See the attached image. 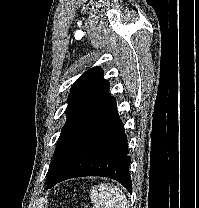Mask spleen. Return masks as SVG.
<instances>
[{"label":"spleen","mask_w":199,"mask_h":208,"mask_svg":"<svg viewBox=\"0 0 199 208\" xmlns=\"http://www.w3.org/2000/svg\"><path fill=\"white\" fill-rule=\"evenodd\" d=\"M93 208H129L126 195L113 184L101 183L90 193Z\"/></svg>","instance_id":"spleen-1"}]
</instances>
